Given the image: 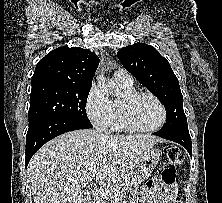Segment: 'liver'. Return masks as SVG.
Here are the masks:
<instances>
[{"label":"liver","mask_w":222,"mask_h":203,"mask_svg":"<svg viewBox=\"0 0 222 203\" xmlns=\"http://www.w3.org/2000/svg\"><path fill=\"white\" fill-rule=\"evenodd\" d=\"M159 141L152 135H109L89 129L64 133L42 146L28 164L34 203H84L83 180L127 176Z\"/></svg>","instance_id":"1"}]
</instances>
